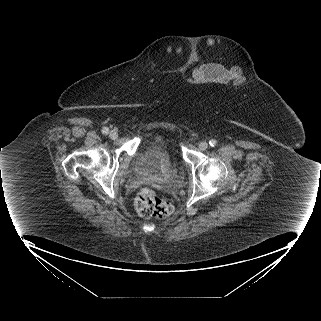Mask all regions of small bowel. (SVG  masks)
<instances>
[{
	"label": "small bowel",
	"instance_id": "obj_1",
	"mask_svg": "<svg viewBox=\"0 0 321 321\" xmlns=\"http://www.w3.org/2000/svg\"><path fill=\"white\" fill-rule=\"evenodd\" d=\"M245 80L244 72L238 69H227L215 63L201 66L184 76V81L188 85L217 84L219 86H230L235 83L242 84Z\"/></svg>",
	"mask_w": 321,
	"mask_h": 321
}]
</instances>
